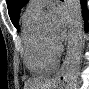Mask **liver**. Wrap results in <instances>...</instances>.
<instances>
[{"instance_id": "obj_1", "label": "liver", "mask_w": 89, "mask_h": 89, "mask_svg": "<svg viewBox=\"0 0 89 89\" xmlns=\"http://www.w3.org/2000/svg\"><path fill=\"white\" fill-rule=\"evenodd\" d=\"M56 86L55 80L34 78L25 84L24 89H53Z\"/></svg>"}]
</instances>
